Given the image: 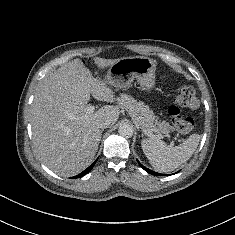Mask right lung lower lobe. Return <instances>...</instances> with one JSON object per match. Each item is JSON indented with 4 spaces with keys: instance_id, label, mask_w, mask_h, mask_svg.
<instances>
[{
    "instance_id": "1",
    "label": "right lung lower lobe",
    "mask_w": 235,
    "mask_h": 235,
    "mask_svg": "<svg viewBox=\"0 0 235 235\" xmlns=\"http://www.w3.org/2000/svg\"><path fill=\"white\" fill-rule=\"evenodd\" d=\"M95 163H96V161H95L94 163H92V164H91L87 169H85L82 173H80V174H78V175H76V176H74V177H72V178H80V177L86 175V174L94 167Z\"/></svg>"
}]
</instances>
